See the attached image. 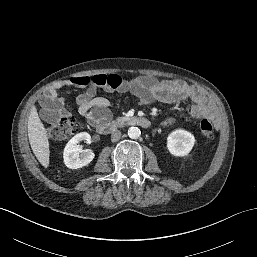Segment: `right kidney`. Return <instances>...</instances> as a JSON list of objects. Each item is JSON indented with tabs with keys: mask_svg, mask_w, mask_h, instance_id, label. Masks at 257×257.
Listing matches in <instances>:
<instances>
[{
	"mask_svg": "<svg viewBox=\"0 0 257 257\" xmlns=\"http://www.w3.org/2000/svg\"><path fill=\"white\" fill-rule=\"evenodd\" d=\"M85 141L86 143H91V136L87 132H81L72 137L66 144L63 152V158L65 165L70 169L82 168L89 164L93 158L94 153L87 149L82 150L79 143ZM82 153L81 155H79Z\"/></svg>",
	"mask_w": 257,
	"mask_h": 257,
	"instance_id": "ca27d5eb",
	"label": "right kidney"
}]
</instances>
